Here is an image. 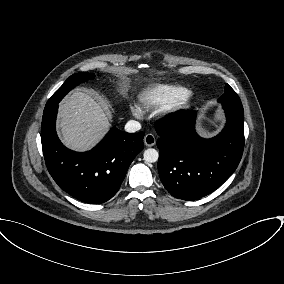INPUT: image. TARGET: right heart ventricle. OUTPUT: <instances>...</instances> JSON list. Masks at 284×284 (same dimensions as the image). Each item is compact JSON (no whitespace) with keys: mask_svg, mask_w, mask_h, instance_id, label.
Here are the masks:
<instances>
[{"mask_svg":"<svg viewBox=\"0 0 284 284\" xmlns=\"http://www.w3.org/2000/svg\"><path fill=\"white\" fill-rule=\"evenodd\" d=\"M183 86L173 84H155L144 89L139 95V103L146 110L173 106L189 95Z\"/></svg>","mask_w":284,"mask_h":284,"instance_id":"obj_1","label":"right heart ventricle"}]
</instances>
